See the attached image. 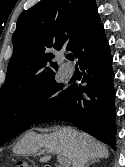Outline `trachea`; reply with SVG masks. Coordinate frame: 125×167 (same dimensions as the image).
Segmentation results:
<instances>
[{"label":"trachea","mask_w":125,"mask_h":167,"mask_svg":"<svg viewBox=\"0 0 125 167\" xmlns=\"http://www.w3.org/2000/svg\"><path fill=\"white\" fill-rule=\"evenodd\" d=\"M66 58H67L68 60H74V56H73L72 54H68V55L66 56Z\"/></svg>","instance_id":"3493384b"}]
</instances>
